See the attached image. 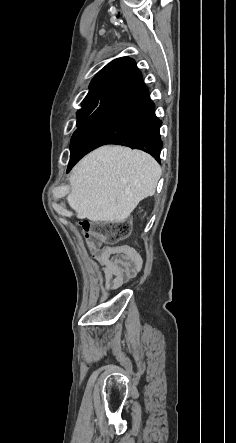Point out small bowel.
Returning <instances> with one entry per match:
<instances>
[{"label":"small bowel","mask_w":236,"mask_h":443,"mask_svg":"<svg viewBox=\"0 0 236 443\" xmlns=\"http://www.w3.org/2000/svg\"><path fill=\"white\" fill-rule=\"evenodd\" d=\"M105 285L108 289H118L132 279L141 269L140 255L129 246H110L97 252Z\"/></svg>","instance_id":"small-bowel-1"}]
</instances>
